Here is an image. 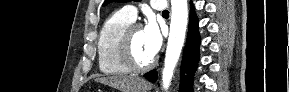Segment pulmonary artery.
<instances>
[{
	"label": "pulmonary artery",
	"mask_w": 289,
	"mask_h": 92,
	"mask_svg": "<svg viewBox=\"0 0 289 92\" xmlns=\"http://www.w3.org/2000/svg\"><path fill=\"white\" fill-rule=\"evenodd\" d=\"M151 6L153 9L157 11L166 10V2L162 0H154L151 2ZM121 12L130 20L134 21L137 17V8L133 5H127L121 9Z\"/></svg>",
	"instance_id": "pulmonary-artery-1"
}]
</instances>
